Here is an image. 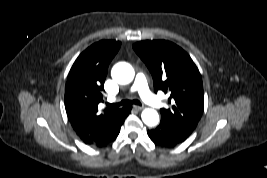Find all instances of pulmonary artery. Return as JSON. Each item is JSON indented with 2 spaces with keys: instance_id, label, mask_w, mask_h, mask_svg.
I'll return each mask as SVG.
<instances>
[{
  "instance_id": "pulmonary-artery-1",
  "label": "pulmonary artery",
  "mask_w": 267,
  "mask_h": 178,
  "mask_svg": "<svg viewBox=\"0 0 267 178\" xmlns=\"http://www.w3.org/2000/svg\"><path fill=\"white\" fill-rule=\"evenodd\" d=\"M130 91H137L143 101L150 106L156 108L163 106V101L150 91L146 77L141 73L137 74Z\"/></svg>"
}]
</instances>
